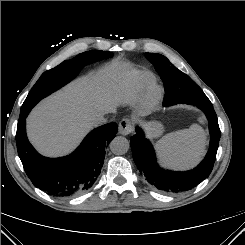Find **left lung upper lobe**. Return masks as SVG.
Listing matches in <instances>:
<instances>
[{"instance_id":"left-lung-upper-lobe-1","label":"left lung upper lobe","mask_w":245,"mask_h":245,"mask_svg":"<svg viewBox=\"0 0 245 245\" xmlns=\"http://www.w3.org/2000/svg\"><path fill=\"white\" fill-rule=\"evenodd\" d=\"M146 58L154 65L165 85L164 101L168 105L186 103L192 100L190 94L201 89L189 76L177 69L163 55L145 53Z\"/></svg>"}]
</instances>
